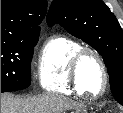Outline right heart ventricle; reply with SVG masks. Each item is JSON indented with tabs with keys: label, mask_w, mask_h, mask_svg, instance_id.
Instances as JSON below:
<instances>
[{
	"label": "right heart ventricle",
	"mask_w": 123,
	"mask_h": 113,
	"mask_svg": "<svg viewBox=\"0 0 123 113\" xmlns=\"http://www.w3.org/2000/svg\"><path fill=\"white\" fill-rule=\"evenodd\" d=\"M80 48L78 42L64 35H53L45 41L37 65L38 83L43 90L80 94L73 86L69 72L70 61Z\"/></svg>",
	"instance_id": "obj_1"
}]
</instances>
